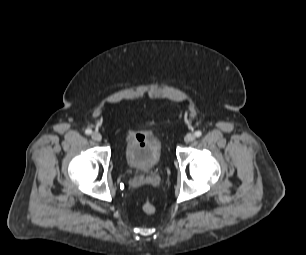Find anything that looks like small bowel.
I'll use <instances>...</instances> for the list:
<instances>
[{"mask_svg": "<svg viewBox=\"0 0 306 255\" xmlns=\"http://www.w3.org/2000/svg\"><path fill=\"white\" fill-rule=\"evenodd\" d=\"M130 138L142 140L144 138V132L138 129L131 130L128 135Z\"/></svg>", "mask_w": 306, "mask_h": 255, "instance_id": "c3829d8e", "label": "small bowel"}]
</instances>
